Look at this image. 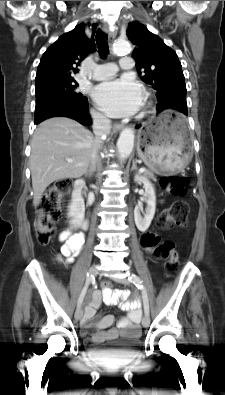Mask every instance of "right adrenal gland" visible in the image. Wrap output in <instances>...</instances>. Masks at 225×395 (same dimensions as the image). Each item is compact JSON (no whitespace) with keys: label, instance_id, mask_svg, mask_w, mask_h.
<instances>
[{"label":"right adrenal gland","instance_id":"2a0ac1e0","mask_svg":"<svg viewBox=\"0 0 225 395\" xmlns=\"http://www.w3.org/2000/svg\"><path fill=\"white\" fill-rule=\"evenodd\" d=\"M94 171H95V168L87 170V172L85 173V176L91 177Z\"/></svg>","mask_w":225,"mask_h":395}]
</instances>
